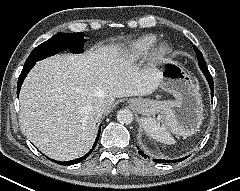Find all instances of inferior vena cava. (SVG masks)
Returning a JSON list of instances; mask_svg holds the SVG:
<instances>
[{
	"instance_id": "obj_1",
	"label": "inferior vena cava",
	"mask_w": 240,
	"mask_h": 191,
	"mask_svg": "<svg viewBox=\"0 0 240 191\" xmlns=\"http://www.w3.org/2000/svg\"><path fill=\"white\" fill-rule=\"evenodd\" d=\"M95 109L99 113H104L108 109V102L106 100L100 99L95 104Z\"/></svg>"
}]
</instances>
